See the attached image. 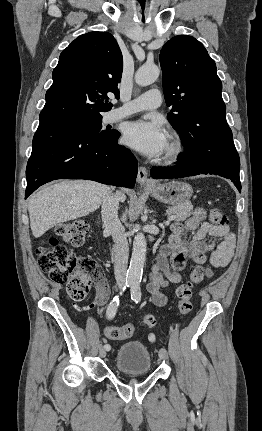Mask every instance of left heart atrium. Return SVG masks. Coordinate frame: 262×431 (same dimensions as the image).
I'll return each mask as SVG.
<instances>
[{
    "instance_id": "left-heart-atrium-1",
    "label": "left heart atrium",
    "mask_w": 262,
    "mask_h": 431,
    "mask_svg": "<svg viewBox=\"0 0 262 431\" xmlns=\"http://www.w3.org/2000/svg\"><path fill=\"white\" fill-rule=\"evenodd\" d=\"M123 141L145 156L158 157L168 144V134L158 120L140 119L127 125Z\"/></svg>"
}]
</instances>
